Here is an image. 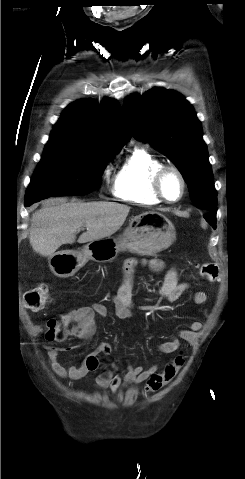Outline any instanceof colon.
I'll return each mask as SVG.
<instances>
[{"mask_svg":"<svg viewBox=\"0 0 245 479\" xmlns=\"http://www.w3.org/2000/svg\"><path fill=\"white\" fill-rule=\"evenodd\" d=\"M201 274L210 281H215L218 276L217 265L211 262L201 264ZM51 299L48 287L40 285L28 290L24 295V302L27 309L37 311L49 303ZM48 339L64 340L69 336L71 323L65 317L51 319V326L48 327ZM184 365L182 355L176 356L163 369L162 372L149 377L145 389L147 392L156 393L166 387L178 374Z\"/></svg>","mask_w":245,"mask_h":479,"instance_id":"colon-1","label":"colon"}]
</instances>
